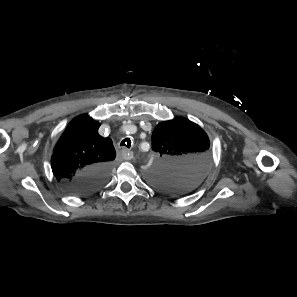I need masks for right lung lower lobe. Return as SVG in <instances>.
Returning a JSON list of instances; mask_svg holds the SVG:
<instances>
[{
  "instance_id": "98d812e1",
  "label": "right lung lower lobe",
  "mask_w": 297,
  "mask_h": 297,
  "mask_svg": "<svg viewBox=\"0 0 297 297\" xmlns=\"http://www.w3.org/2000/svg\"><path fill=\"white\" fill-rule=\"evenodd\" d=\"M111 165L102 164L89 167L78 173L68 184L76 195L91 193L106 183L110 176Z\"/></svg>"
}]
</instances>
